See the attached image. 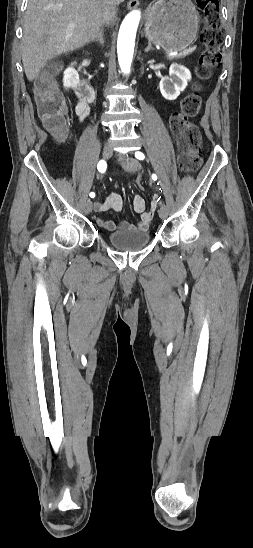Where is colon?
I'll list each match as a JSON object with an SVG mask.
<instances>
[{
  "label": "colon",
  "instance_id": "colon-1",
  "mask_svg": "<svg viewBox=\"0 0 253 548\" xmlns=\"http://www.w3.org/2000/svg\"><path fill=\"white\" fill-rule=\"evenodd\" d=\"M205 15V27L201 34L205 45L197 69L200 80L209 78L211 72L221 62L220 47L223 35L220 29V6L218 0H198ZM54 69H48L34 82V97L38 115L47 129L63 137L66 133L67 105L53 79ZM200 87L196 86L181 100L180 110L170 119V127L177 138L179 146V166L184 172H195L202 164L201 134L198 128L190 122L202 106ZM136 188L142 193L147 191L143 184V177L136 176Z\"/></svg>",
  "mask_w": 253,
  "mask_h": 548
}]
</instances>
